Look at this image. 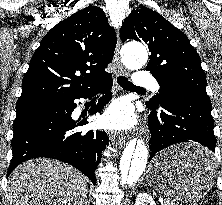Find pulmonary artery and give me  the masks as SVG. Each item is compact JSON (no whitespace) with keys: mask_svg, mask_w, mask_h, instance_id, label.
Segmentation results:
<instances>
[{"mask_svg":"<svg viewBox=\"0 0 222 205\" xmlns=\"http://www.w3.org/2000/svg\"><path fill=\"white\" fill-rule=\"evenodd\" d=\"M134 85L143 89L158 91L156 79L144 71H139L135 74Z\"/></svg>","mask_w":222,"mask_h":205,"instance_id":"pulmonary-artery-1","label":"pulmonary artery"}]
</instances>
